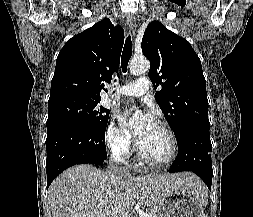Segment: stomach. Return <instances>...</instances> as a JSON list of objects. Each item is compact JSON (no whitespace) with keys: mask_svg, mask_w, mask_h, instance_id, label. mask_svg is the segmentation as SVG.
<instances>
[{"mask_svg":"<svg viewBox=\"0 0 253 217\" xmlns=\"http://www.w3.org/2000/svg\"><path fill=\"white\" fill-rule=\"evenodd\" d=\"M203 198L182 188L168 192L158 205L159 217H203Z\"/></svg>","mask_w":253,"mask_h":217,"instance_id":"1","label":"stomach"}]
</instances>
